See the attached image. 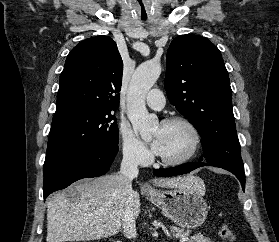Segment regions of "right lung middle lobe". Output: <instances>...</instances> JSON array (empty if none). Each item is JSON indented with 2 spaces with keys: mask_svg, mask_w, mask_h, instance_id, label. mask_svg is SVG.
Here are the masks:
<instances>
[{
  "mask_svg": "<svg viewBox=\"0 0 279 242\" xmlns=\"http://www.w3.org/2000/svg\"><path fill=\"white\" fill-rule=\"evenodd\" d=\"M117 146L118 127L111 111L77 109L56 113L45 162L79 149Z\"/></svg>",
  "mask_w": 279,
  "mask_h": 242,
  "instance_id": "obj_1",
  "label": "right lung middle lobe"
}]
</instances>
